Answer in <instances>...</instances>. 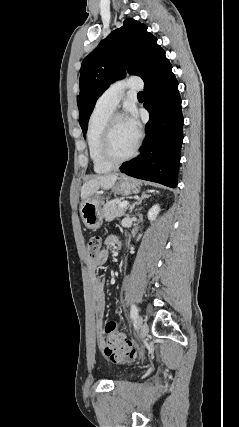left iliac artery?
Segmentation results:
<instances>
[{"label": "left iliac artery", "mask_w": 239, "mask_h": 427, "mask_svg": "<svg viewBox=\"0 0 239 427\" xmlns=\"http://www.w3.org/2000/svg\"><path fill=\"white\" fill-rule=\"evenodd\" d=\"M137 316H138V309L134 304H132L131 305L130 317L132 320H135L137 318Z\"/></svg>", "instance_id": "obj_1"}]
</instances>
